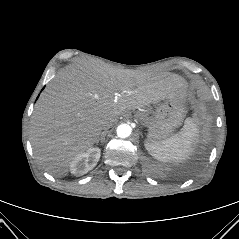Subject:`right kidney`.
<instances>
[{
    "label": "right kidney",
    "mask_w": 239,
    "mask_h": 239,
    "mask_svg": "<svg viewBox=\"0 0 239 239\" xmlns=\"http://www.w3.org/2000/svg\"><path fill=\"white\" fill-rule=\"evenodd\" d=\"M99 148H89L86 152L78 154L70 164V171L76 176H81L92 170L100 159Z\"/></svg>",
    "instance_id": "ca27d5eb"
}]
</instances>
